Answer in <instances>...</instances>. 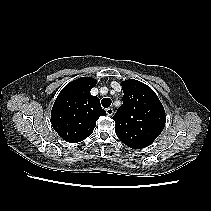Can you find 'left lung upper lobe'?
Listing matches in <instances>:
<instances>
[{"label":"left lung upper lobe","mask_w":211,"mask_h":211,"mask_svg":"<svg viewBox=\"0 0 211 211\" xmlns=\"http://www.w3.org/2000/svg\"><path fill=\"white\" fill-rule=\"evenodd\" d=\"M123 104L113 116L115 132L128 147L142 149L162 132L166 116L155 92L146 84L129 79L122 81Z\"/></svg>","instance_id":"left-lung-upper-lobe-1"}]
</instances>
